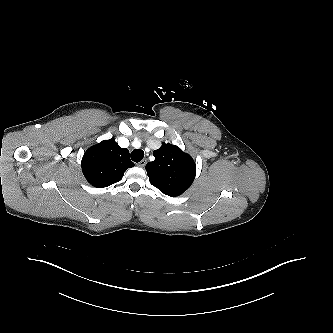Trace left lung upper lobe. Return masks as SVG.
Segmentation results:
<instances>
[{
  "label": "left lung upper lobe",
  "mask_w": 333,
  "mask_h": 333,
  "mask_svg": "<svg viewBox=\"0 0 333 333\" xmlns=\"http://www.w3.org/2000/svg\"><path fill=\"white\" fill-rule=\"evenodd\" d=\"M153 155L155 160L146 165L153 186L172 197L181 195L191 186L196 175V164L189 154L178 146L162 143Z\"/></svg>",
  "instance_id": "obj_1"
}]
</instances>
